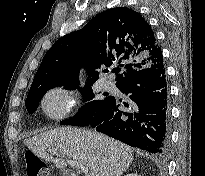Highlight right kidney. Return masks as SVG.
<instances>
[{
    "instance_id": "obj_1",
    "label": "right kidney",
    "mask_w": 205,
    "mask_h": 176,
    "mask_svg": "<svg viewBox=\"0 0 205 176\" xmlns=\"http://www.w3.org/2000/svg\"><path fill=\"white\" fill-rule=\"evenodd\" d=\"M125 176H140V175H138V174H136V173H131V174H127V175H125Z\"/></svg>"
}]
</instances>
